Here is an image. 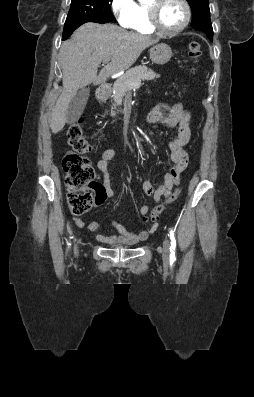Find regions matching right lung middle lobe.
Returning <instances> with one entry per match:
<instances>
[{
	"label": "right lung middle lobe",
	"mask_w": 254,
	"mask_h": 397,
	"mask_svg": "<svg viewBox=\"0 0 254 397\" xmlns=\"http://www.w3.org/2000/svg\"><path fill=\"white\" fill-rule=\"evenodd\" d=\"M112 0H72L65 23L86 20L107 23L113 20L110 11Z\"/></svg>",
	"instance_id": "1"
}]
</instances>
